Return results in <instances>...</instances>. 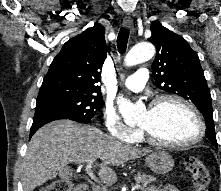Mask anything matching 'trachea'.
Listing matches in <instances>:
<instances>
[{
  "label": "trachea",
  "mask_w": 221,
  "mask_h": 191,
  "mask_svg": "<svg viewBox=\"0 0 221 191\" xmlns=\"http://www.w3.org/2000/svg\"><path fill=\"white\" fill-rule=\"evenodd\" d=\"M129 30L121 28L117 37V47L120 54H124L127 48Z\"/></svg>",
  "instance_id": "trachea-1"
}]
</instances>
